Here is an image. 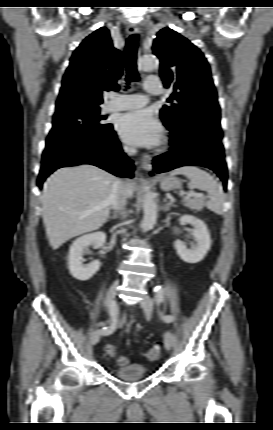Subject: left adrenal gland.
<instances>
[{
    "label": "left adrenal gland",
    "instance_id": "1",
    "mask_svg": "<svg viewBox=\"0 0 273 430\" xmlns=\"http://www.w3.org/2000/svg\"><path fill=\"white\" fill-rule=\"evenodd\" d=\"M164 202H165L166 204L163 206V208H162V209H163V211L167 212V211H169V210H170V207H171L172 205H171V203H168L166 199H164Z\"/></svg>",
    "mask_w": 273,
    "mask_h": 430
}]
</instances>
